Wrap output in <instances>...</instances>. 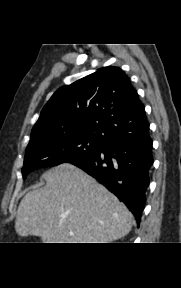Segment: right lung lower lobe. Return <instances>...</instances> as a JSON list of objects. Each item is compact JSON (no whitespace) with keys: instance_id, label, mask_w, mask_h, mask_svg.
<instances>
[{"instance_id":"98d812e1","label":"right lung lower lobe","mask_w":181,"mask_h":288,"mask_svg":"<svg viewBox=\"0 0 181 288\" xmlns=\"http://www.w3.org/2000/svg\"><path fill=\"white\" fill-rule=\"evenodd\" d=\"M114 193L141 221L153 164L152 140L148 136L135 141L104 144L101 151L72 162Z\"/></svg>"}]
</instances>
